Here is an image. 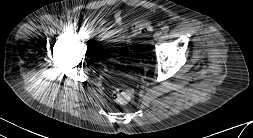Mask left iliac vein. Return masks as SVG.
Returning <instances> with one entry per match:
<instances>
[{"label": "left iliac vein", "instance_id": "left-iliac-vein-1", "mask_svg": "<svg viewBox=\"0 0 253 138\" xmlns=\"http://www.w3.org/2000/svg\"><path fill=\"white\" fill-rule=\"evenodd\" d=\"M161 36H162V32L157 31V32L154 33L153 38L156 41V40L160 39Z\"/></svg>", "mask_w": 253, "mask_h": 138}]
</instances>
